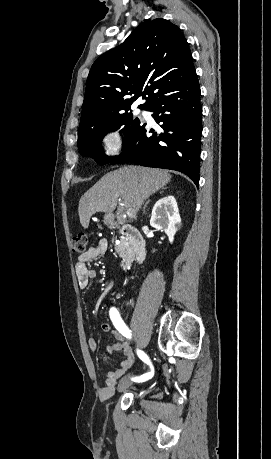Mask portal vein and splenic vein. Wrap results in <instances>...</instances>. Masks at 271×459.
I'll list each match as a JSON object with an SVG mask.
<instances>
[{"label": "portal vein and splenic vein", "mask_w": 271, "mask_h": 459, "mask_svg": "<svg viewBox=\"0 0 271 459\" xmlns=\"http://www.w3.org/2000/svg\"><path fill=\"white\" fill-rule=\"evenodd\" d=\"M126 214H127V216H129V218H135V210H132V208H129V210H127Z\"/></svg>", "instance_id": "1"}]
</instances>
